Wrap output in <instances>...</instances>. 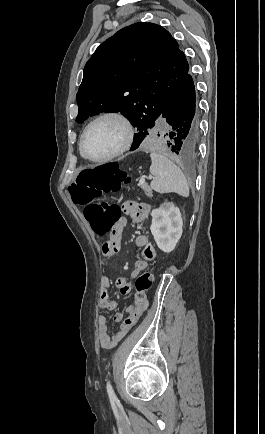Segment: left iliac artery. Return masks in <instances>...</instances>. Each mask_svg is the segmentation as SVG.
Returning a JSON list of instances; mask_svg holds the SVG:
<instances>
[{
    "label": "left iliac artery",
    "mask_w": 265,
    "mask_h": 434,
    "mask_svg": "<svg viewBox=\"0 0 265 434\" xmlns=\"http://www.w3.org/2000/svg\"><path fill=\"white\" fill-rule=\"evenodd\" d=\"M107 392H108V395H109V398H110L111 401H116L117 400V397H116V395L114 393L112 385L110 384L109 381L107 382Z\"/></svg>",
    "instance_id": "1"
}]
</instances>
